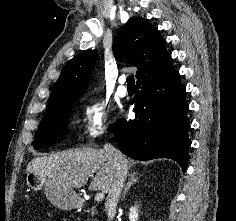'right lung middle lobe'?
<instances>
[{
	"instance_id": "obj_1",
	"label": "right lung middle lobe",
	"mask_w": 236,
	"mask_h": 221,
	"mask_svg": "<svg viewBox=\"0 0 236 221\" xmlns=\"http://www.w3.org/2000/svg\"><path fill=\"white\" fill-rule=\"evenodd\" d=\"M78 98L45 112L34 140V148L41 149L65 139L70 119V107Z\"/></svg>"
}]
</instances>
